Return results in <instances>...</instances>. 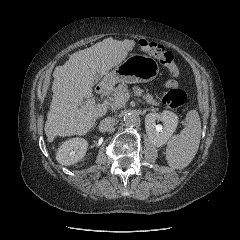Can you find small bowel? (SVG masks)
I'll return each mask as SVG.
<instances>
[{
  "instance_id": "small-bowel-1",
  "label": "small bowel",
  "mask_w": 240,
  "mask_h": 240,
  "mask_svg": "<svg viewBox=\"0 0 240 240\" xmlns=\"http://www.w3.org/2000/svg\"><path fill=\"white\" fill-rule=\"evenodd\" d=\"M176 85H177V83L175 81H173V80H169L166 83L167 87H175Z\"/></svg>"
}]
</instances>
